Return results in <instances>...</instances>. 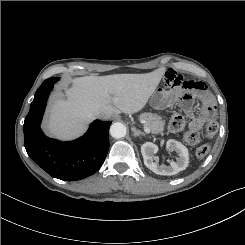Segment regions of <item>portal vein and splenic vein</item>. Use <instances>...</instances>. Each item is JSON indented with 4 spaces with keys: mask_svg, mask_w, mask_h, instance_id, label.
I'll return each instance as SVG.
<instances>
[{
    "mask_svg": "<svg viewBox=\"0 0 245 245\" xmlns=\"http://www.w3.org/2000/svg\"><path fill=\"white\" fill-rule=\"evenodd\" d=\"M144 131H145L147 134H149V133H150L149 127H147L146 125H144Z\"/></svg>",
    "mask_w": 245,
    "mask_h": 245,
    "instance_id": "obj_1",
    "label": "portal vein and splenic vein"
}]
</instances>
